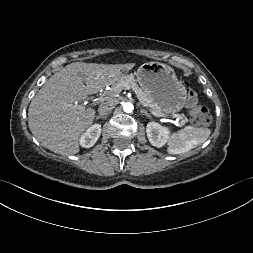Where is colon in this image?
Instances as JSON below:
<instances>
[{
    "label": "colon",
    "mask_w": 253,
    "mask_h": 253,
    "mask_svg": "<svg viewBox=\"0 0 253 253\" xmlns=\"http://www.w3.org/2000/svg\"><path fill=\"white\" fill-rule=\"evenodd\" d=\"M187 87L188 103L193 107L191 113V122L194 125H205L210 123L211 115L208 108L198 103V95L196 90L190 88L187 82H183Z\"/></svg>",
    "instance_id": "5ec220e1"
}]
</instances>
